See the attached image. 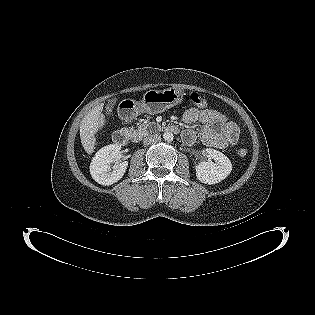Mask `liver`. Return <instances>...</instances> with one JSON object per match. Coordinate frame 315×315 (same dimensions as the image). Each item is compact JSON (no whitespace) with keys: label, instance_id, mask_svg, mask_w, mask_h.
<instances>
[{"label":"liver","instance_id":"1","mask_svg":"<svg viewBox=\"0 0 315 315\" xmlns=\"http://www.w3.org/2000/svg\"><path fill=\"white\" fill-rule=\"evenodd\" d=\"M103 103L92 108L82 119L80 125V139L84 150L92 154L96 145L95 134L103 128L106 120L102 115Z\"/></svg>","mask_w":315,"mask_h":315}]
</instances>
